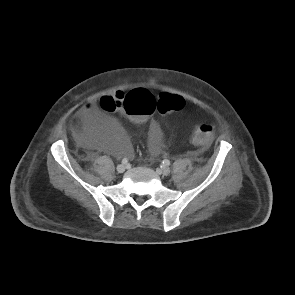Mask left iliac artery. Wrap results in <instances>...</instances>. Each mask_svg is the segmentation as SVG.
I'll return each mask as SVG.
<instances>
[{
    "label": "left iliac artery",
    "instance_id": "left-iliac-artery-1",
    "mask_svg": "<svg viewBox=\"0 0 295 295\" xmlns=\"http://www.w3.org/2000/svg\"><path fill=\"white\" fill-rule=\"evenodd\" d=\"M163 165L165 166H169L170 165V161L168 159L163 160Z\"/></svg>",
    "mask_w": 295,
    "mask_h": 295
}]
</instances>
